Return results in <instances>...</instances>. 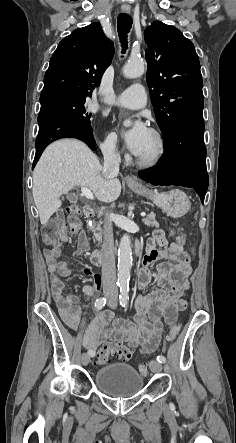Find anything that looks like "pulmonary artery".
I'll return each instance as SVG.
<instances>
[{"instance_id": "1", "label": "pulmonary artery", "mask_w": 236, "mask_h": 443, "mask_svg": "<svg viewBox=\"0 0 236 443\" xmlns=\"http://www.w3.org/2000/svg\"><path fill=\"white\" fill-rule=\"evenodd\" d=\"M110 105H118L131 109L142 108L146 104V94L144 87L140 84H135L127 88L122 93L104 100Z\"/></svg>"}]
</instances>
